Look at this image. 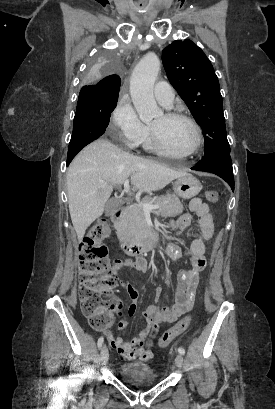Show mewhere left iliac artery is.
Segmentation results:
<instances>
[{"label":"left iliac artery","instance_id":"44dca946","mask_svg":"<svg viewBox=\"0 0 275 409\" xmlns=\"http://www.w3.org/2000/svg\"><path fill=\"white\" fill-rule=\"evenodd\" d=\"M178 352H179L181 355H184V354H185V350H184V348H182V347L178 348Z\"/></svg>","mask_w":275,"mask_h":409}]
</instances>
